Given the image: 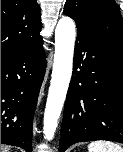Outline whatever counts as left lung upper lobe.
Returning a JSON list of instances; mask_svg holds the SVG:
<instances>
[{
  "instance_id": "obj_1",
  "label": "left lung upper lobe",
  "mask_w": 123,
  "mask_h": 152,
  "mask_svg": "<svg viewBox=\"0 0 123 152\" xmlns=\"http://www.w3.org/2000/svg\"><path fill=\"white\" fill-rule=\"evenodd\" d=\"M64 14L91 34L123 48V20L114 0H67Z\"/></svg>"
}]
</instances>
